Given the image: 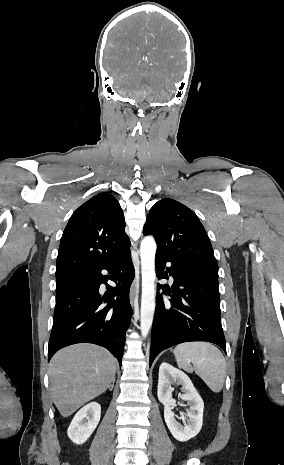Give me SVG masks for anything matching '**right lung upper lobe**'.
I'll return each mask as SVG.
<instances>
[{"mask_svg": "<svg viewBox=\"0 0 284 465\" xmlns=\"http://www.w3.org/2000/svg\"><path fill=\"white\" fill-rule=\"evenodd\" d=\"M125 226L118 201L106 192L81 205L60 241L56 282L96 270L129 248Z\"/></svg>", "mask_w": 284, "mask_h": 465, "instance_id": "obj_1", "label": "right lung upper lobe"}]
</instances>
